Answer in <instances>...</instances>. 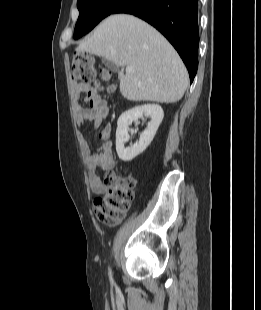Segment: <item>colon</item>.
<instances>
[{"label": "colon", "instance_id": "obj_1", "mask_svg": "<svg viewBox=\"0 0 261 310\" xmlns=\"http://www.w3.org/2000/svg\"><path fill=\"white\" fill-rule=\"evenodd\" d=\"M70 74L76 85L105 81L110 77L107 70L97 68L94 57L88 53L74 54ZM104 186V194L94 200V213L101 223L113 226L123 218L129 207L135 180L129 175L108 173L104 177Z\"/></svg>", "mask_w": 261, "mask_h": 310}]
</instances>
